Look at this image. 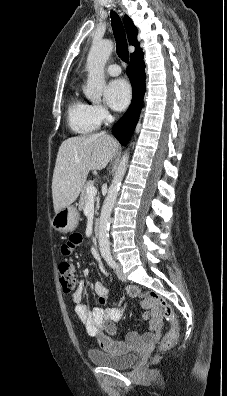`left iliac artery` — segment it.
<instances>
[{"label":"left iliac artery","mask_w":227,"mask_h":396,"mask_svg":"<svg viewBox=\"0 0 227 396\" xmlns=\"http://www.w3.org/2000/svg\"><path fill=\"white\" fill-rule=\"evenodd\" d=\"M104 258H105L107 264H108L111 268H114V269L117 268V265H116L115 261L113 260V258H112V256H111L110 253L105 254V255H104Z\"/></svg>","instance_id":"left-iliac-artery-1"}]
</instances>
